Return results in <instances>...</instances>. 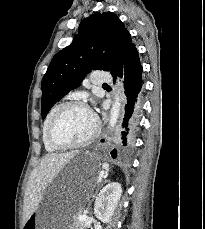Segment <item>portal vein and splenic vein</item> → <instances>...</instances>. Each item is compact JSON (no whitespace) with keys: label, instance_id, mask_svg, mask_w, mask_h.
Here are the masks:
<instances>
[{"label":"portal vein and splenic vein","instance_id":"18ae733b","mask_svg":"<svg viewBox=\"0 0 205 229\" xmlns=\"http://www.w3.org/2000/svg\"><path fill=\"white\" fill-rule=\"evenodd\" d=\"M85 217V215H83V216H80V218L79 219H83Z\"/></svg>","mask_w":205,"mask_h":229}]
</instances>
